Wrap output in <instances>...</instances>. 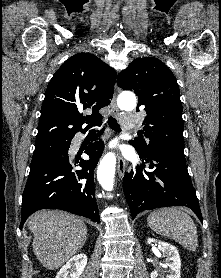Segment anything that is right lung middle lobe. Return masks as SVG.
<instances>
[{
  "label": "right lung middle lobe",
  "mask_w": 221,
  "mask_h": 278,
  "mask_svg": "<svg viewBox=\"0 0 221 278\" xmlns=\"http://www.w3.org/2000/svg\"><path fill=\"white\" fill-rule=\"evenodd\" d=\"M70 143V139H61L51 142H47L38 146H35V151L32 157L31 166H34L41 161L45 160L53 152L58 151L66 147Z\"/></svg>",
  "instance_id": "right-lung-middle-lobe-1"
}]
</instances>
